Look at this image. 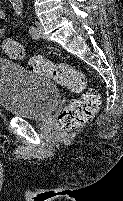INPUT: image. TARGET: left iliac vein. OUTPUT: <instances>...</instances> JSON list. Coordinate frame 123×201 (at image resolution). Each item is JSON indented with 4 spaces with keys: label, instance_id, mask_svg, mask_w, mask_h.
Masks as SVG:
<instances>
[{
    "label": "left iliac vein",
    "instance_id": "1",
    "mask_svg": "<svg viewBox=\"0 0 123 201\" xmlns=\"http://www.w3.org/2000/svg\"><path fill=\"white\" fill-rule=\"evenodd\" d=\"M35 26H36V34H35V38H43L44 37V34H43V27L41 25L40 22L36 21L35 22Z\"/></svg>",
    "mask_w": 123,
    "mask_h": 201
}]
</instances>
